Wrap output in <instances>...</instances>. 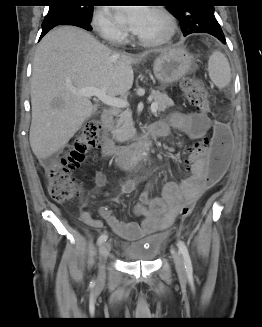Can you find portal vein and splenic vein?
I'll use <instances>...</instances> for the list:
<instances>
[{"mask_svg": "<svg viewBox=\"0 0 262 327\" xmlns=\"http://www.w3.org/2000/svg\"><path fill=\"white\" fill-rule=\"evenodd\" d=\"M73 92L75 94L85 97L95 96L99 100H101L104 104L111 107L125 108L128 106V102L126 100L107 95L104 88L87 87L81 90H73ZM157 109H158L157 103L153 102L151 104V112L156 113Z\"/></svg>", "mask_w": 262, "mask_h": 327, "instance_id": "obj_1", "label": "portal vein and splenic vein"}]
</instances>
